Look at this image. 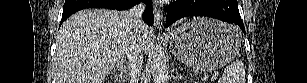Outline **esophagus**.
<instances>
[{
  "label": "esophagus",
  "mask_w": 307,
  "mask_h": 83,
  "mask_svg": "<svg viewBox=\"0 0 307 83\" xmlns=\"http://www.w3.org/2000/svg\"><path fill=\"white\" fill-rule=\"evenodd\" d=\"M154 18L155 24L159 27H163V8L158 1H154Z\"/></svg>",
  "instance_id": "34e87169"
}]
</instances>
